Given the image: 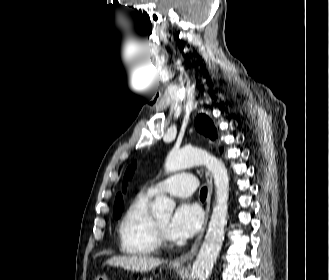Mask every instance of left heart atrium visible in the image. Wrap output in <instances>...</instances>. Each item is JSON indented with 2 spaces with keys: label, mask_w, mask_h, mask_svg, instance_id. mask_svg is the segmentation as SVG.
I'll list each match as a JSON object with an SVG mask.
<instances>
[{
  "label": "left heart atrium",
  "mask_w": 329,
  "mask_h": 280,
  "mask_svg": "<svg viewBox=\"0 0 329 280\" xmlns=\"http://www.w3.org/2000/svg\"><path fill=\"white\" fill-rule=\"evenodd\" d=\"M203 222L200 208L188 202L179 204L167 225V235L173 240H186L196 234Z\"/></svg>",
  "instance_id": "39dd6f15"
}]
</instances>
